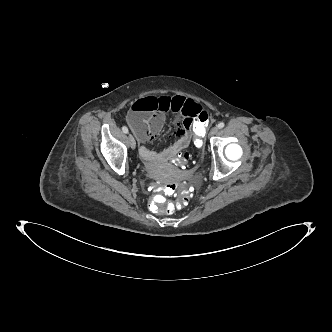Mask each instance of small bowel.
<instances>
[{"label": "small bowel", "instance_id": "small-bowel-1", "mask_svg": "<svg viewBox=\"0 0 332 332\" xmlns=\"http://www.w3.org/2000/svg\"><path fill=\"white\" fill-rule=\"evenodd\" d=\"M168 112L177 115L176 141L165 144L162 152L148 149L145 144L153 141L161 132ZM203 112L199 103L183 96H146L133 103L128 114V123L141 144L139 153L147 162L170 159L189 147L192 130L199 114Z\"/></svg>", "mask_w": 332, "mask_h": 332}]
</instances>
